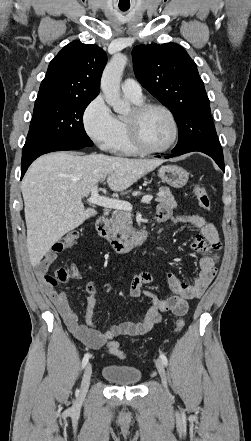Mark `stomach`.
Here are the masks:
<instances>
[{"label":"stomach","mask_w":251,"mask_h":441,"mask_svg":"<svg viewBox=\"0 0 251 441\" xmlns=\"http://www.w3.org/2000/svg\"><path fill=\"white\" fill-rule=\"evenodd\" d=\"M158 176L163 182L174 188H182L189 179L188 172L177 165L162 166L158 170Z\"/></svg>","instance_id":"obj_1"}]
</instances>
